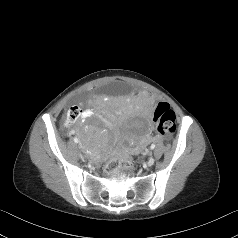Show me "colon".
<instances>
[{
	"mask_svg": "<svg viewBox=\"0 0 238 238\" xmlns=\"http://www.w3.org/2000/svg\"><path fill=\"white\" fill-rule=\"evenodd\" d=\"M81 110L77 106L71 107L67 112V122L68 124H73L81 117ZM153 118L157 126V132L159 137L166 138L172 135L176 130V116L174 111L170 106L161 102L157 104ZM132 165V160L128 157L125 158H114L105 164V171L107 173L114 172L119 168L130 167Z\"/></svg>",
	"mask_w": 238,
	"mask_h": 238,
	"instance_id": "obj_1",
	"label": "colon"
}]
</instances>
